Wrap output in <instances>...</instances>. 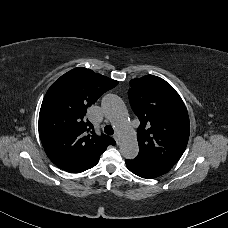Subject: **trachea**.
<instances>
[{
  "label": "trachea",
  "instance_id": "1",
  "mask_svg": "<svg viewBox=\"0 0 228 228\" xmlns=\"http://www.w3.org/2000/svg\"><path fill=\"white\" fill-rule=\"evenodd\" d=\"M104 132L108 135H113L114 134V130L113 127L111 125H107L104 127Z\"/></svg>",
  "mask_w": 228,
  "mask_h": 228
}]
</instances>
